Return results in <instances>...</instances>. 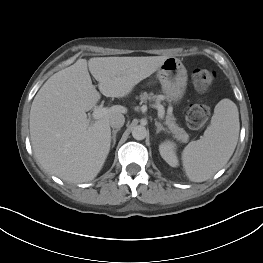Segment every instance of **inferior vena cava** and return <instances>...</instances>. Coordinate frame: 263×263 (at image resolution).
Returning a JSON list of instances; mask_svg holds the SVG:
<instances>
[{
	"label": "inferior vena cava",
	"mask_w": 263,
	"mask_h": 263,
	"mask_svg": "<svg viewBox=\"0 0 263 263\" xmlns=\"http://www.w3.org/2000/svg\"><path fill=\"white\" fill-rule=\"evenodd\" d=\"M125 122V117L123 114L121 113H117L114 114L111 118H110V126L114 129H119L124 125Z\"/></svg>",
	"instance_id": "obj_1"
}]
</instances>
